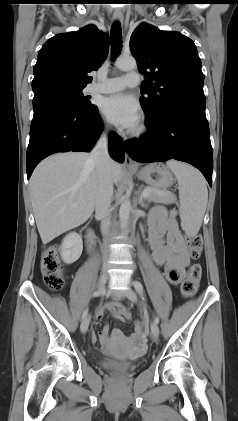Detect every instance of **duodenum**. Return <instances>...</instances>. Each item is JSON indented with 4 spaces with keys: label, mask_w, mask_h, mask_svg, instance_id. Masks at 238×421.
<instances>
[{
    "label": "duodenum",
    "mask_w": 238,
    "mask_h": 421,
    "mask_svg": "<svg viewBox=\"0 0 238 421\" xmlns=\"http://www.w3.org/2000/svg\"><path fill=\"white\" fill-rule=\"evenodd\" d=\"M87 247L89 250H92L95 245V235L92 230H89L86 236Z\"/></svg>",
    "instance_id": "1"
}]
</instances>
